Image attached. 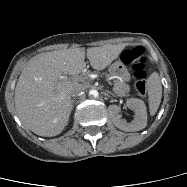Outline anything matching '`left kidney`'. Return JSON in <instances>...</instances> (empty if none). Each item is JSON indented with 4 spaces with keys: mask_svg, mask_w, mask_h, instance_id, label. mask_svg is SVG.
Segmentation results:
<instances>
[{
    "mask_svg": "<svg viewBox=\"0 0 187 187\" xmlns=\"http://www.w3.org/2000/svg\"><path fill=\"white\" fill-rule=\"evenodd\" d=\"M126 105L134 112V119L131 123L121 119L119 112L120 107L117 105L109 106V115L114 125L124 131H139L147 125V110L144 102L137 98H130L126 101Z\"/></svg>",
    "mask_w": 187,
    "mask_h": 187,
    "instance_id": "left-kidney-1",
    "label": "left kidney"
}]
</instances>
